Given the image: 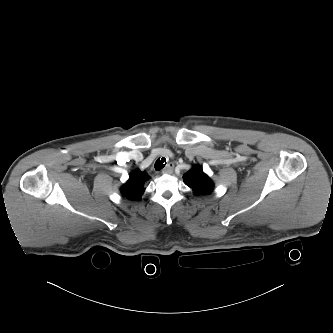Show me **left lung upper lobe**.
I'll use <instances>...</instances> for the list:
<instances>
[{"label":"left lung upper lobe","instance_id":"1","mask_svg":"<svg viewBox=\"0 0 333 333\" xmlns=\"http://www.w3.org/2000/svg\"><path fill=\"white\" fill-rule=\"evenodd\" d=\"M183 181L193 190L195 195H208L214 189L213 181L197 165L183 175Z\"/></svg>","mask_w":333,"mask_h":333}]
</instances>
